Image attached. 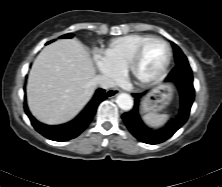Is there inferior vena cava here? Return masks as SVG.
Instances as JSON below:
<instances>
[{"label": "inferior vena cava", "instance_id": "1", "mask_svg": "<svg viewBox=\"0 0 222 187\" xmlns=\"http://www.w3.org/2000/svg\"><path fill=\"white\" fill-rule=\"evenodd\" d=\"M92 85L93 86H98V87L103 88V89H109V88L114 86V82L111 78H109L107 76L99 75V76H96L92 80Z\"/></svg>", "mask_w": 222, "mask_h": 187}]
</instances>
